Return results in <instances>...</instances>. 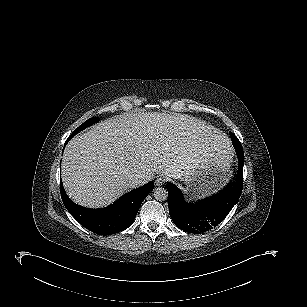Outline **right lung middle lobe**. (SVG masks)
<instances>
[{
	"instance_id": "obj_1",
	"label": "right lung middle lobe",
	"mask_w": 307,
	"mask_h": 307,
	"mask_svg": "<svg viewBox=\"0 0 307 307\" xmlns=\"http://www.w3.org/2000/svg\"><path fill=\"white\" fill-rule=\"evenodd\" d=\"M99 118H90L87 121H85L83 124H81L67 139L68 141L79 131L83 130L84 128L88 127L89 125H92L93 123L97 122Z\"/></svg>"
}]
</instances>
